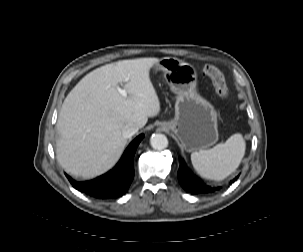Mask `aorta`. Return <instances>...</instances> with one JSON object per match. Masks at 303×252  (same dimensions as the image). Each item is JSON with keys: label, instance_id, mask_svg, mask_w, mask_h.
<instances>
[{"label": "aorta", "instance_id": "1", "mask_svg": "<svg viewBox=\"0 0 303 252\" xmlns=\"http://www.w3.org/2000/svg\"><path fill=\"white\" fill-rule=\"evenodd\" d=\"M150 144L154 149L162 150L168 146V139L164 134H153L150 138Z\"/></svg>", "mask_w": 303, "mask_h": 252}]
</instances>
